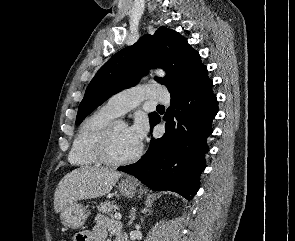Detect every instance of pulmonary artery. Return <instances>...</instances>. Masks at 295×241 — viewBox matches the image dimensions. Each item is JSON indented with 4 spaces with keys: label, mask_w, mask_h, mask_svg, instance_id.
<instances>
[{
    "label": "pulmonary artery",
    "mask_w": 295,
    "mask_h": 241,
    "mask_svg": "<svg viewBox=\"0 0 295 241\" xmlns=\"http://www.w3.org/2000/svg\"><path fill=\"white\" fill-rule=\"evenodd\" d=\"M145 99L168 103L170 96L163 85L145 84L124 90L112 96L105 106L119 116L135 108Z\"/></svg>",
    "instance_id": "obj_1"
}]
</instances>
